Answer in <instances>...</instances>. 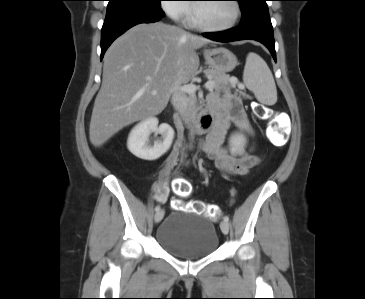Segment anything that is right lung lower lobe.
<instances>
[{"instance_id": "98d812e1", "label": "right lung lower lobe", "mask_w": 365, "mask_h": 299, "mask_svg": "<svg viewBox=\"0 0 365 299\" xmlns=\"http://www.w3.org/2000/svg\"><path fill=\"white\" fill-rule=\"evenodd\" d=\"M161 7L128 6L106 13L101 31V60L111 43L129 28L159 21L164 17Z\"/></svg>"}]
</instances>
